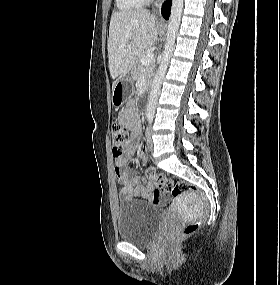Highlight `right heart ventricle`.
<instances>
[{
  "instance_id": "1",
  "label": "right heart ventricle",
  "mask_w": 280,
  "mask_h": 285,
  "mask_svg": "<svg viewBox=\"0 0 280 285\" xmlns=\"http://www.w3.org/2000/svg\"><path fill=\"white\" fill-rule=\"evenodd\" d=\"M148 0H115L117 7L122 11H133L147 3Z\"/></svg>"
}]
</instances>
